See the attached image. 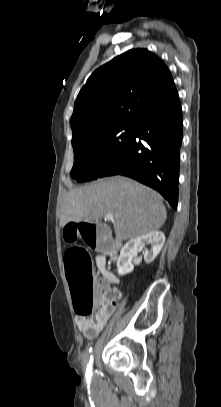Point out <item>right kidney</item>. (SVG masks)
Returning <instances> with one entry per match:
<instances>
[{"instance_id":"1","label":"right kidney","mask_w":221,"mask_h":407,"mask_svg":"<svg viewBox=\"0 0 221 407\" xmlns=\"http://www.w3.org/2000/svg\"><path fill=\"white\" fill-rule=\"evenodd\" d=\"M165 243V235L161 231H154L135 239L128 241L120 252L117 261V270L119 275H125L133 271V257L137 252L144 248L146 244H151L150 249H145L144 260L146 263H151L161 251Z\"/></svg>"}]
</instances>
